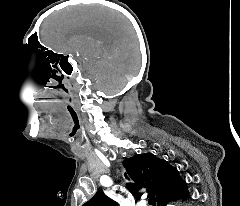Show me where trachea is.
<instances>
[{
  "mask_svg": "<svg viewBox=\"0 0 240 206\" xmlns=\"http://www.w3.org/2000/svg\"><path fill=\"white\" fill-rule=\"evenodd\" d=\"M125 177L127 178L126 174H125ZM149 204L152 205V206H155V198L154 197H150Z\"/></svg>",
  "mask_w": 240,
  "mask_h": 206,
  "instance_id": "1",
  "label": "trachea"
}]
</instances>
